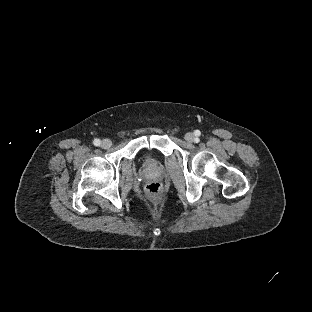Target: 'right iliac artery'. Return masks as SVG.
Returning a JSON list of instances; mask_svg holds the SVG:
<instances>
[{
  "mask_svg": "<svg viewBox=\"0 0 312 312\" xmlns=\"http://www.w3.org/2000/svg\"><path fill=\"white\" fill-rule=\"evenodd\" d=\"M93 143H94L95 146H99L100 145V140L99 139H95L93 141Z\"/></svg>",
  "mask_w": 312,
  "mask_h": 312,
  "instance_id": "82829eb1",
  "label": "right iliac artery"
}]
</instances>
